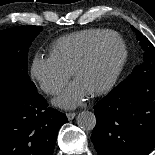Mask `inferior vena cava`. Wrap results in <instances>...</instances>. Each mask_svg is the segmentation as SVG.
I'll return each instance as SVG.
<instances>
[{
    "instance_id": "inferior-vena-cava-1",
    "label": "inferior vena cava",
    "mask_w": 155,
    "mask_h": 155,
    "mask_svg": "<svg viewBox=\"0 0 155 155\" xmlns=\"http://www.w3.org/2000/svg\"><path fill=\"white\" fill-rule=\"evenodd\" d=\"M45 90L47 92H58L59 91V88L57 86H55L54 84H47L45 86Z\"/></svg>"
}]
</instances>
